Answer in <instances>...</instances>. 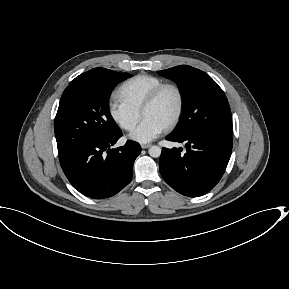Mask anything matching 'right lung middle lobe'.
I'll return each instance as SVG.
<instances>
[{"instance_id": "right-lung-middle-lobe-1", "label": "right lung middle lobe", "mask_w": 289, "mask_h": 289, "mask_svg": "<svg viewBox=\"0 0 289 289\" xmlns=\"http://www.w3.org/2000/svg\"><path fill=\"white\" fill-rule=\"evenodd\" d=\"M130 76L113 71L98 80H73L64 90L54 121L59 156L120 131L108 109V97L117 83Z\"/></svg>"}]
</instances>
